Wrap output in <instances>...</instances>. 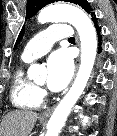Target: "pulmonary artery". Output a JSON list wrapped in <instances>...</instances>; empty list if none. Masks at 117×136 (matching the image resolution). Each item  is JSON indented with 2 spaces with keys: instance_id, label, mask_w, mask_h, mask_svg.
<instances>
[{
  "instance_id": "obj_1",
  "label": "pulmonary artery",
  "mask_w": 117,
  "mask_h": 136,
  "mask_svg": "<svg viewBox=\"0 0 117 136\" xmlns=\"http://www.w3.org/2000/svg\"><path fill=\"white\" fill-rule=\"evenodd\" d=\"M70 37H72L70 26L61 23L50 25L26 44L22 59L25 62L33 61L46 54L57 40Z\"/></svg>"
}]
</instances>
